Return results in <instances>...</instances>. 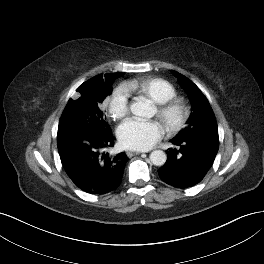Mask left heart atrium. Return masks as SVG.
Returning <instances> with one entry per match:
<instances>
[{
    "instance_id": "left-heart-atrium-1",
    "label": "left heart atrium",
    "mask_w": 264,
    "mask_h": 264,
    "mask_svg": "<svg viewBox=\"0 0 264 264\" xmlns=\"http://www.w3.org/2000/svg\"><path fill=\"white\" fill-rule=\"evenodd\" d=\"M122 145L134 150H147L164 135L163 126L155 120L130 118L117 131Z\"/></svg>"
}]
</instances>
